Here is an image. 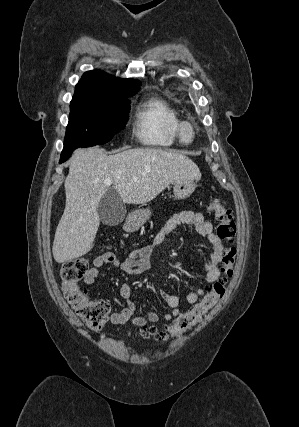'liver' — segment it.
<instances>
[{"label":"liver","mask_w":299,"mask_h":427,"mask_svg":"<svg viewBox=\"0 0 299 427\" xmlns=\"http://www.w3.org/2000/svg\"><path fill=\"white\" fill-rule=\"evenodd\" d=\"M200 178L198 166L180 152L135 148L107 156L97 147L76 150L64 183L66 205L52 247L55 261L64 263L92 249L100 224L97 206L108 191L105 180H112L123 203L144 204L175 181Z\"/></svg>","instance_id":"liver-1"}]
</instances>
